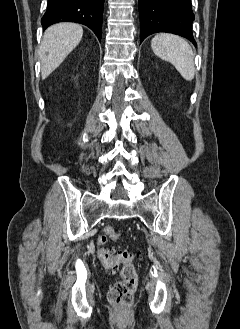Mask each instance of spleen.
Returning <instances> with one entry per match:
<instances>
[{
  "instance_id": "spleen-1",
  "label": "spleen",
  "mask_w": 240,
  "mask_h": 329,
  "mask_svg": "<svg viewBox=\"0 0 240 329\" xmlns=\"http://www.w3.org/2000/svg\"><path fill=\"white\" fill-rule=\"evenodd\" d=\"M151 48L158 57L171 62L185 80L194 79V54L185 39L173 34L160 33L153 37Z\"/></svg>"
}]
</instances>
